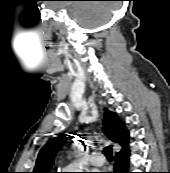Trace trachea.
<instances>
[{"mask_svg": "<svg viewBox=\"0 0 170 173\" xmlns=\"http://www.w3.org/2000/svg\"><path fill=\"white\" fill-rule=\"evenodd\" d=\"M103 154L106 156V158H107L109 161H112V160H113V154H112V147H111V146L106 147V148L103 150Z\"/></svg>", "mask_w": 170, "mask_h": 173, "instance_id": "obj_1", "label": "trachea"}]
</instances>
